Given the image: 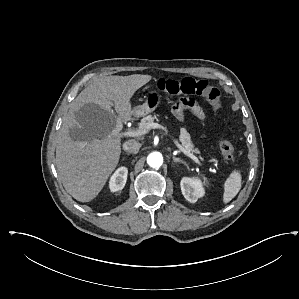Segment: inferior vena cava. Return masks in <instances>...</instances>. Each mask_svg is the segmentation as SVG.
Returning a JSON list of instances; mask_svg holds the SVG:
<instances>
[{
  "instance_id": "obj_1",
  "label": "inferior vena cava",
  "mask_w": 299,
  "mask_h": 299,
  "mask_svg": "<svg viewBox=\"0 0 299 299\" xmlns=\"http://www.w3.org/2000/svg\"><path fill=\"white\" fill-rule=\"evenodd\" d=\"M141 147V144L137 142L136 140H128L123 144V149L129 153H138L139 149Z\"/></svg>"
}]
</instances>
